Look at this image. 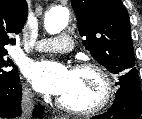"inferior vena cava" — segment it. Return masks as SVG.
<instances>
[{
	"label": "inferior vena cava",
	"instance_id": "602c4592",
	"mask_svg": "<svg viewBox=\"0 0 142 119\" xmlns=\"http://www.w3.org/2000/svg\"><path fill=\"white\" fill-rule=\"evenodd\" d=\"M34 108L33 94L29 89L25 88L22 93L21 109L22 114L20 119H31V114Z\"/></svg>",
	"mask_w": 142,
	"mask_h": 119
}]
</instances>
